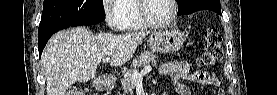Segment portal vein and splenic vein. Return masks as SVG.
Returning a JSON list of instances; mask_svg holds the SVG:
<instances>
[{
    "label": "portal vein and splenic vein",
    "instance_id": "portal-vein-and-splenic-vein-1",
    "mask_svg": "<svg viewBox=\"0 0 277 95\" xmlns=\"http://www.w3.org/2000/svg\"><path fill=\"white\" fill-rule=\"evenodd\" d=\"M110 61V57H106L103 59V63H108ZM152 70V67L150 65H147L144 67V69L141 72H134L131 76V78L134 81H139L143 79V76L147 73H149Z\"/></svg>",
    "mask_w": 277,
    "mask_h": 95
}]
</instances>
